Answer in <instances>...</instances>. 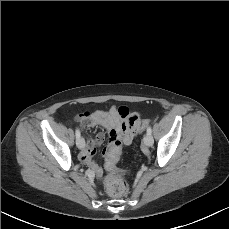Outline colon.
Segmentation results:
<instances>
[{"label": "colon", "mask_w": 229, "mask_h": 229, "mask_svg": "<svg viewBox=\"0 0 229 229\" xmlns=\"http://www.w3.org/2000/svg\"><path fill=\"white\" fill-rule=\"evenodd\" d=\"M149 124L148 120H140L138 115H133L126 127L131 133H136L140 130H144ZM110 141L116 139V133L113 131L109 134ZM121 151H116L114 154V160L117 162L120 159ZM106 191L109 196L113 198H121L128 193L127 181L121 175H110L105 181Z\"/></svg>", "instance_id": "colon-1"}]
</instances>
